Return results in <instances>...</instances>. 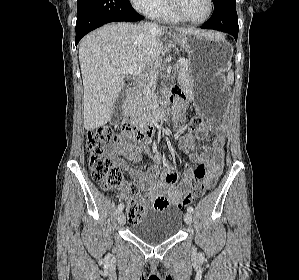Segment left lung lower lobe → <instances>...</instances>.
Masks as SVG:
<instances>
[{
  "label": "left lung lower lobe",
  "instance_id": "1",
  "mask_svg": "<svg viewBox=\"0 0 299 280\" xmlns=\"http://www.w3.org/2000/svg\"><path fill=\"white\" fill-rule=\"evenodd\" d=\"M214 12L211 18L201 28L227 32L237 41L238 19L236 0H213Z\"/></svg>",
  "mask_w": 299,
  "mask_h": 280
}]
</instances>
